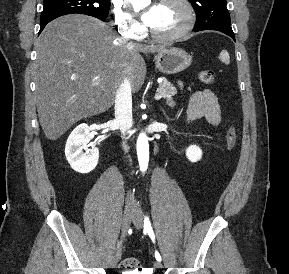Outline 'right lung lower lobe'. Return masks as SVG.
<instances>
[{"instance_id": "98d812e1", "label": "right lung lower lobe", "mask_w": 289, "mask_h": 274, "mask_svg": "<svg viewBox=\"0 0 289 274\" xmlns=\"http://www.w3.org/2000/svg\"><path fill=\"white\" fill-rule=\"evenodd\" d=\"M62 15H66V14H62ZM62 15H53V16H49V17H45V18H41L40 20V33L41 31L44 29V27L46 26L47 23H49L50 21H52L53 19L60 17Z\"/></svg>"}]
</instances>
